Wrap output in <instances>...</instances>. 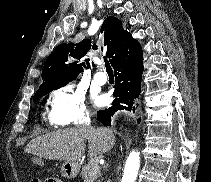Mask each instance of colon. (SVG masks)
<instances>
[{"label": "colon", "instance_id": "colon-1", "mask_svg": "<svg viewBox=\"0 0 211 182\" xmlns=\"http://www.w3.org/2000/svg\"><path fill=\"white\" fill-rule=\"evenodd\" d=\"M35 182H62L58 177H48L45 180H36Z\"/></svg>", "mask_w": 211, "mask_h": 182}]
</instances>
